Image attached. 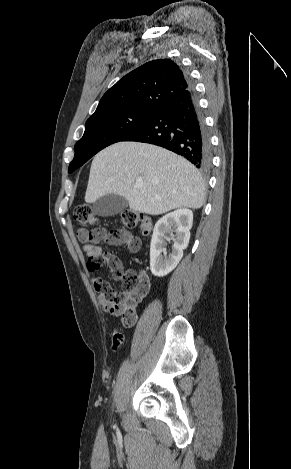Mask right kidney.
Instances as JSON below:
<instances>
[{
	"mask_svg": "<svg viewBox=\"0 0 291 469\" xmlns=\"http://www.w3.org/2000/svg\"><path fill=\"white\" fill-rule=\"evenodd\" d=\"M192 223L193 213L189 209H178L157 221L150 244V269L154 276L164 277L178 265L183 250L188 246ZM166 234L174 239L172 252L168 256Z\"/></svg>",
	"mask_w": 291,
	"mask_h": 469,
	"instance_id": "right-kidney-1",
	"label": "right kidney"
}]
</instances>
